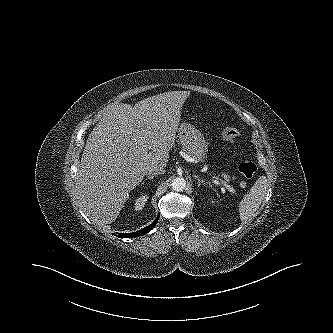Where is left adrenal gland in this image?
<instances>
[{"label": "left adrenal gland", "instance_id": "left-adrenal-gland-1", "mask_svg": "<svg viewBox=\"0 0 333 333\" xmlns=\"http://www.w3.org/2000/svg\"><path fill=\"white\" fill-rule=\"evenodd\" d=\"M193 177L197 180V182H198V186H200L201 183H203V184H207V182H205V180L199 178V176H197V175H193Z\"/></svg>", "mask_w": 333, "mask_h": 333}]
</instances>
